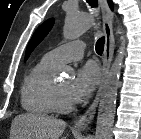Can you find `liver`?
Wrapping results in <instances>:
<instances>
[{"label":"liver","instance_id":"6515ba94","mask_svg":"<svg viewBox=\"0 0 141 139\" xmlns=\"http://www.w3.org/2000/svg\"><path fill=\"white\" fill-rule=\"evenodd\" d=\"M66 122L53 116L24 113L16 116L11 124V139H59Z\"/></svg>","mask_w":141,"mask_h":139}]
</instances>
